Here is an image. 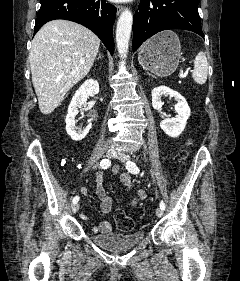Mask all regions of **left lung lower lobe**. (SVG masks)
Segmentation results:
<instances>
[{"label":"left lung lower lobe","mask_w":240,"mask_h":281,"mask_svg":"<svg viewBox=\"0 0 240 281\" xmlns=\"http://www.w3.org/2000/svg\"><path fill=\"white\" fill-rule=\"evenodd\" d=\"M167 29L189 30L204 38L198 0H141L133 18V52L146 39Z\"/></svg>","instance_id":"1"}]
</instances>
